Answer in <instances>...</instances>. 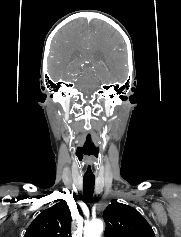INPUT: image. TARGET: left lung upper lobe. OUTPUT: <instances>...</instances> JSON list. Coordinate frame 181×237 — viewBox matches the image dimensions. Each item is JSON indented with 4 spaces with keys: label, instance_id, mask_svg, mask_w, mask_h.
Here are the masks:
<instances>
[{
    "label": "left lung upper lobe",
    "instance_id": "left-lung-upper-lobe-1",
    "mask_svg": "<svg viewBox=\"0 0 181 237\" xmlns=\"http://www.w3.org/2000/svg\"><path fill=\"white\" fill-rule=\"evenodd\" d=\"M105 237H155L152 227L133 207L112 201L104 210Z\"/></svg>",
    "mask_w": 181,
    "mask_h": 237
}]
</instances>
